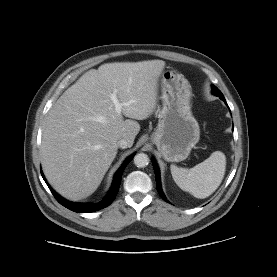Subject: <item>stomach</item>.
<instances>
[{"instance_id":"0dacf381","label":"stomach","mask_w":277,"mask_h":277,"mask_svg":"<svg viewBox=\"0 0 277 277\" xmlns=\"http://www.w3.org/2000/svg\"><path fill=\"white\" fill-rule=\"evenodd\" d=\"M162 109L151 141L166 161L185 160L198 143L200 129L191 111V86L188 80L172 70L161 76Z\"/></svg>"}]
</instances>
